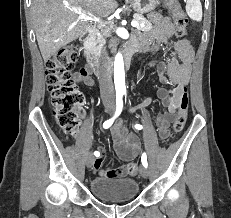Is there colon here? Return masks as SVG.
Returning <instances> with one entry per match:
<instances>
[{
  "label": "colon",
  "instance_id": "5ec220e1",
  "mask_svg": "<svg viewBox=\"0 0 231 218\" xmlns=\"http://www.w3.org/2000/svg\"><path fill=\"white\" fill-rule=\"evenodd\" d=\"M167 8L172 12L177 37L186 35L188 18L180 8L177 0H165ZM79 60V53L72 46L61 48L46 61V81L53 106V117L61 132L70 137L78 134L79 118L84 102V95L78 89L72 77L71 69ZM189 108L187 88L181 93L178 112L173 124L174 133H180L186 124ZM127 173L136 176L139 165L129 163Z\"/></svg>",
  "mask_w": 231,
  "mask_h": 218
}]
</instances>
